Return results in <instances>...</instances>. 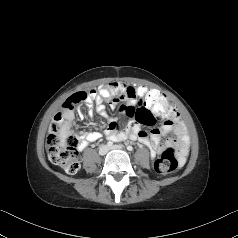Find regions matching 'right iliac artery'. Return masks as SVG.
Listing matches in <instances>:
<instances>
[{
  "mask_svg": "<svg viewBox=\"0 0 238 238\" xmlns=\"http://www.w3.org/2000/svg\"><path fill=\"white\" fill-rule=\"evenodd\" d=\"M112 145H113V142H112V141L107 142V146H108V147H111Z\"/></svg>",
  "mask_w": 238,
  "mask_h": 238,
  "instance_id": "obj_1",
  "label": "right iliac artery"
}]
</instances>
